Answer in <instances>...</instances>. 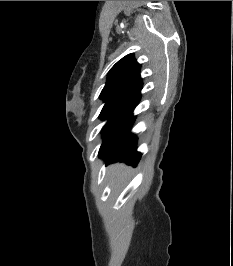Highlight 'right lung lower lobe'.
Segmentation results:
<instances>
[{
	"instance_id": "obj_1",
	"label": "right lung lower lobe",
	"mask_w": 233,
	"mask_h": 266,
	"mask_svg": "<svg viewBox=\"0 0 233 266\" xmlns=\"http://www.w3.org/2000/svg\"><path fill=\"white\" fill-rule=\"evenodd\" d=\"M131 116L123 126L100 148L99 157L107 163L125 161L127 164L136 166L140 160L141 153L136 151L137 139L130 132L134 123Z\"/></svg>"
}]
</instances>
